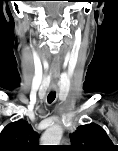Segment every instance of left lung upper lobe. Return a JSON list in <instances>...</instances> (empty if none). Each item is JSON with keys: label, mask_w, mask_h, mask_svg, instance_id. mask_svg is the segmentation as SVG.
Returning <instances> with one entry per match:
<instances>
[{"label": "left lung upper lobe", "mask_w": 118, "mask_h": 151, "mask_svg": "<svg viewBox=\"0 0 118 151\" xmlns=\"http://www.w3.org/2000/svg\"><path fill=\"white\" fill-rule=\"evenodd\" d=\"M70 137L74 151H109L115 148L104 129L94 123L79 126Z\"/></svg>", "instance_id": "5c2ea615"}]
</instances>
